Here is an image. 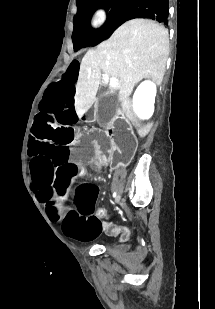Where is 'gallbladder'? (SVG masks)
Returning a JSON list of instances; mask_svg holds the SVG:
<instances>
[{
    "label": "gallbladder",
    "instance_id": "gallbladder-1",
    "mask_svg": "<svg viewBox=\"0 0 215 309\" xmlns=\"http://www.w3.org/2000/svg\"><path fill=\"white\" fill-rule=\"evenodd\" d=\"M118 106V98L115 92H108L105 96H101L98 100V110L102 117H99V120H102V123H106V120H110L116 114Z\"/></svg>",
    "mask_w": 215,
    "mask_h": 309
}]
</instances>
